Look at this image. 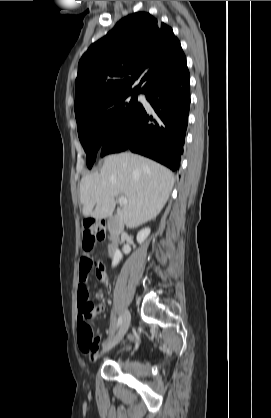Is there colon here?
Segmentation results:
<instances>
[{"instance_id": "5ec220e1", "label": "colon", "mask_w": 271, "mask_h": 418, "mask_svg": "<svg viewBox=\"0 0 271 418\" xmlns=\"http://www.w3.org/2000/svg\"><path fill=\"white\" fill-rule=\"evenodd\" d=\"M104 237V224L91 221L85 225L83 249L87 254L86 257L89 259V267L93 266V260L90 257V253L93 251L96 243L102 241ZM78 339L82 348L90 349L95 346L97 340L94 338V333L89 323L78 324Z\"/></svg>"}]
</instances>
